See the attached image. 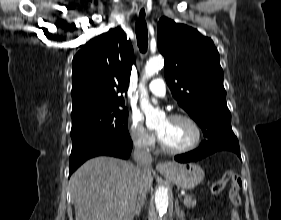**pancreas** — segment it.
<instances>
[{
	"instance_id": "1",
	"label": "pancreas",
	"mask_w": 281,
	"mask_h": 220,
	"mask_svg": "<svg viewBox=\"0 0 281 220\" xmlns=\"http://www.w3.org/2000/svg\"><path fill=\"white\" fill-rule=\"evenodd\" d=\"M183 203L185 204V206H187L189 208L196 206V200L193 198L192 195H185Z\"/></svg>"
}]
</instances>
